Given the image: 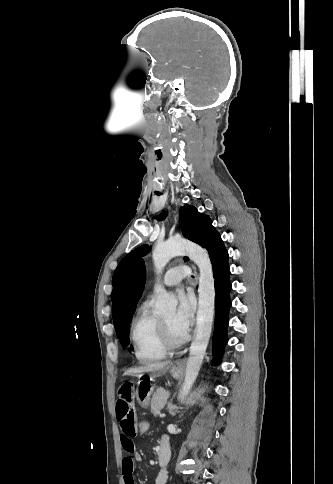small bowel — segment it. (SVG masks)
<instances>
[{
	"instance_id": "1",
	"label": "small bowel",
	"mask_w": 333,
	"mask_h": 484,
	"mask_svg": "<svg viewBox=\"0 0 333 484\" xmlns=\"http://www.w3.org/2000/svg\"><path fill=\"white\" fill-rule=\"evenodd\" d=\"M116 419L119 422L121 429V444L126 452V456L122 460V473L125 484H135L134 468L135 462L142 460L141 455L135 451L134 438L137 435V414L135 408V388L133 383L124 382L118 390V396L115 404ZM167 474L165 470H161L156 479L155 484H165Z\"/></svg>"
}]
</instances>
